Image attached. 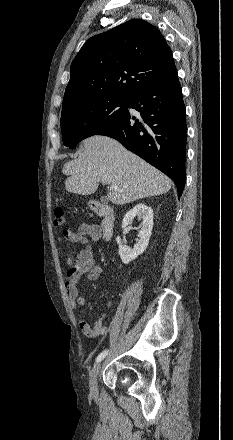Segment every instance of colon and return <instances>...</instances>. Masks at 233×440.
<instances>
[{
  "label": "colon",
  "instance_id": "1",
  "mask_svg": "<svg viewBox=\"0 0 233 440\" xmlns=\"http://www.w3.org/2000/svg\"><path fill=\"white\" fill-rule=\"evenodd\" d=\"M53 223L56 227H64L66 224L64 209L61 206H56L54 208Z\"/></svg>",
  "mask_w": 233,
  "mask_h": 440
}]
</instances>
